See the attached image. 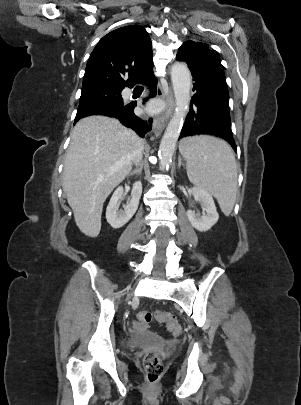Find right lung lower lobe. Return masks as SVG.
<instances>
[{"label":"right lung lower lobe","mask_w":301,"mask_h":405,"mask_svg":"<svg viewBox=\"0 0 301 405\" xmlns=\"http://www.w3.org/2000/svg\"><path fill=\"white\" fill-rule=\"evenodd\" d=\"M144 83L150 87L151 94L150 97H154L156 95V85L157 79L153 74V68L147 71L141 80L139 81ZM147 98L145 99V101ZM136 104H128V105H109V106H102L98 108L91 109L89 111L83 113H77L75 122L78 121L82 117L90 116V115H104L108 117H114L121 121V123L129 128H132L136 131L140 136L144 137L145 133L151 130L152 128V119L149 120H142L138 118L134 114V108Z\"/></svg>","instance_id":"98d812e1"}]
</instances>
